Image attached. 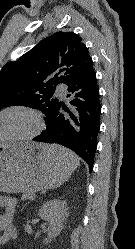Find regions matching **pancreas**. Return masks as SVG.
I'll return each mask as SVG.
<instances>
[{
    "label": "pancreas",
    "mask_w": 135,
    "mask_h": 249,
    "mask_svg": "<svg viewBox=\"0 0 135 249\" xmlns=\"http://www.w3.org/2000/svg\"><path fill=\"white\" fill-rule=\"evenodd\" d=\"M32 198V192H26L24 193V195L22 196L23 200H27V199H31Z\"/></svg>",
    "instance_id": "pancreas-1"
}]
</instances>
